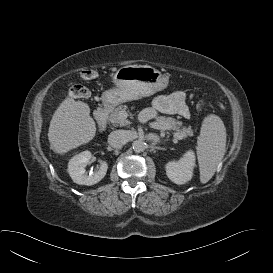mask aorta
I'll return each instance as SVG.
<instances>
[{
	"label": "aorta",
	"mask_w": 273,
	"mask_h": 273,
	"mask_svg": "<svg viewBox=\"0 0 273 273\" xmlns=\"http://www.w3.org/2000/svg\"><path fill=\"white\" fill-rule=\"evenodd\" d=\"M132 148H133V150H134L135 152H138V153H139V152H142V151L145 150L146 144H145V142L142 141V140H136V141L133 142Z\"/></svg>",
	"instance_id": "aorta-1"
}]
</instances>
